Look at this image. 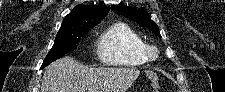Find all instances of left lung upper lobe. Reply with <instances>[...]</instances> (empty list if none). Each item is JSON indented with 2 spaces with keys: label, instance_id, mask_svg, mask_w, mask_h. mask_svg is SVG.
Here are the masks:
<instances>
[{
  "label": "left lung upper lobe",
  "instance_id": "left-lung-upper-lobe-1",
  "mask_svg": "<svg viewBox=\"0 0 225 92\" xmlns=\"http://www.w3.org/2000/svg\"><path fill=\"white\" fill-rule=\"evenodd\" d=\"M111 9L119 15H123L140 25L147 27L155 35L161 37V35L159 34V27L155 22L151 20L148 12L145 9H137L133 7L115 5H112Z\"/></svg>",
  "mask_w": 225,
  "mask_h": 92
}]
</instances>
